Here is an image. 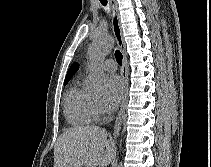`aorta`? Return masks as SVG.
<instances>
[{
	"mask_svg": "<svg viewBox=\"0 0 211 167\" xmlns=\"http://www.w3.org/2000/svg\"><path fill=\"white\" fill-rule=\"evenodd\" d=\"M112 47V39L109 36L104 35L96 39L89 48V88L91 90L100 91L103 89L106 83V75L101 69V61L111 51ZM118 167H122V163H120Z\"/></svg>",
	"mask_w": 211,
	"mask_h": 167,
	"instance_id": "obj_1",
	"label": "aorta"
}]
</instances>
